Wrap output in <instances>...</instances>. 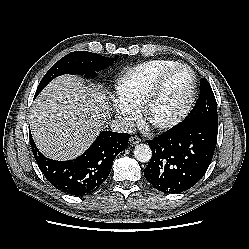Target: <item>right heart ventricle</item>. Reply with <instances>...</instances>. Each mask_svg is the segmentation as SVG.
Listing matches in <instances>:
<instances>
[{
  "mask_svg": "<svg viewBox=\"0 0 249 249\" xmlns=\"http://www.w3.org/2000/svg\"><path fill=\"white\" fill-rule=\"evenodd\" d=\"M178 62L156 59L141 63L125 71L116 82V94L120 102L138 110L159 76Z\"/></svg>",
  "mask_w": 249,
  "mask_h": 249,
  "instance_id": "1",
  "label": "right heart ventricle"
}]
</instances>
